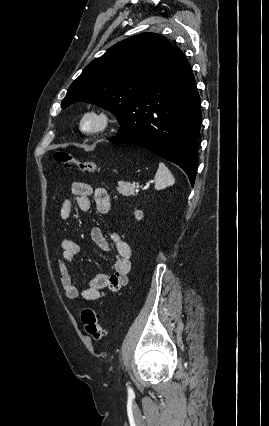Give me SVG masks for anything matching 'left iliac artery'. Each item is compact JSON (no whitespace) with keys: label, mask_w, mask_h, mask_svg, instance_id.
I'll return each instance as SVG.
<instances>
[{"label":"left iliac artery","mask_w":269,"mask_h":426,"mask_svg":"<svg viewBox=\"0 0 269 426\" xmlns=\"http://www.w3.org/2000/svg\"><path fill=\"white\" fill-rule=\"evenodd\" d=\"M128 392H132V389L130 387H128Z\"/></svg>","instance_id":"left-iliac-artery-1"}]
</instances>
